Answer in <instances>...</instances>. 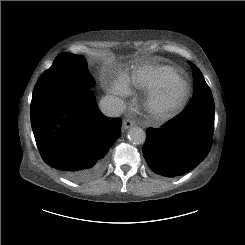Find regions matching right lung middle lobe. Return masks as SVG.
I'll return each instance as SVG.
<instances>
[{"label":"right lung middle lobe","mask_w":245,"mask_h":245,"mask_svg":"<svg viewBox=\"0 0 245 245\" xmlns=\"http://www.w3.org/2000/svg\"><path fill=\"white\" fill-rule=\"evenodd\" d=\"M94 85L95 80L88 72L87 62L83 56L61 53L37 81L31 104H36L56 93L90 88Z\"/></svg>","instance_id":"obj_1"}]
</instances>
